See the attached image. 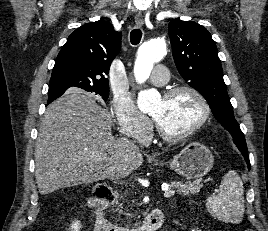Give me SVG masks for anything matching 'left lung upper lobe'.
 <instances>
[{
	"mask_svg": "<svg viewBox=\"0 0 268 231\" xmlns=\"http://www.w3.org/2000/svg\"><path fill=\"white\" fill-rule=\"evenodd\" d=\"M168 33L180 75L207 100L218 122L232 135L240 151H247L244 135L234 118L214 40L208 30L192 21L174 20Z\"/></svg>",
	"mask_w": 268,
	"mask_h": 231,
	"instance_id": "1",
	"label": "left lung upper lobe"
}]
</instances>
